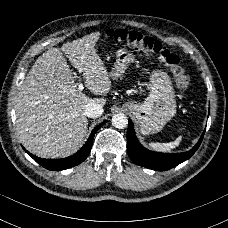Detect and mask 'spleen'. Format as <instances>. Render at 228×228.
Returning a JSON list of instances; mask_svg holds the SVG:
<instances>
[{"label": "spleen", "instance_id": "3e777b00", "mask_svg": "<svg viewBox=\"0 0 228 228\" xmlns=\"http://www.w3.org/2000/svg\"><path fill=\"white\" fill-rule=\"evenodd\" d=\"M180 138H177L174 142L169 143H160V142H152L150 143V146L158 149V150H170L171 148H174L179 144Z\"/></svg>", "mask_w": 228, "mask_h": 228}]
</instances>
